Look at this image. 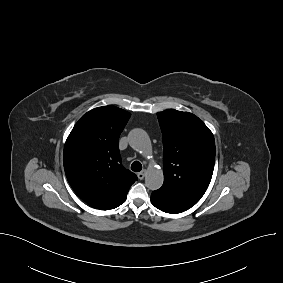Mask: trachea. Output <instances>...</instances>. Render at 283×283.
<instances>
[{"mask_svg":"<svg viewBox=\"0 0 283 283\" xmlns=\"http://www.w3.org/2000/svg\"><path fill=\"white\" fill-rule=\"evenodd\" d=\"M131 169L134 172H139L142 170V164L139 161H134L131 165Z\"/></svg>","mask_w":283,"mask_h":283,"instance_id":"3493384b","label":"trachea"}]
</instances>
